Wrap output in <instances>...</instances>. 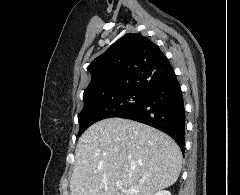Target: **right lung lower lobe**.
<instances>
[{
  "instance_id": "obj_1",
  "label": "right lung lower lobe",
  "mask_w": 240,
  "mask_h": 195,
  "mask_svg": "<svg viewBox=\"0 0 240 195\" xmlns=\"http://www.w3.org/2000/svg\"><path fill=\"white\" fill-rule=\"evenodd\" d=\"M118 117L145 123L168 134L184 152V100L175 74L151 87L140 105Z\"/></svg>"
}]
</instances>
